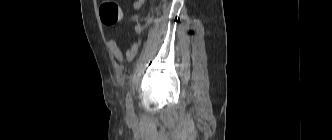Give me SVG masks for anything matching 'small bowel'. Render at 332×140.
<instances>
[{"instance_id": "obj_1", "label": "small bowel", "mask_w": 332, "mask_h": 140, "mask_svg": "<svg viewBox=\"0 0 332 140\" xmlns=\"http://www.w3.org/2000/svg\"><path fill=\"white\" fill-rule=\"evenodd\" d=\"M133 8L138 10L140 9L146 0H131ZM108 48L110 52L112 53L113 57L120 63H122L125 59L127 61H132L137 52H138V43H133L130 45V47L123 53L119 47V44L117 40L115 39H110L108 41Z\"/></svg>"}]
</instances>
